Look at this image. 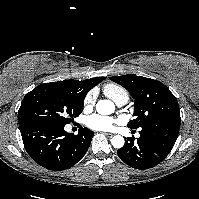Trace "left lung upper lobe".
<instances>
[{"label":"left lung upper lobe","mask_w":199,"mask_h":199,"mask_svg":"<svg viewBox=\"0 0 199 199\" xmlns=\"http://www.w3.org/2000/svg\"><path fill=\"white\" fill-rule=\"evenodd\" d=\"M109 79L127 89L135 100V118L127 124L129 128H142L160 119L180 117L176 97L160 81L136 75L114 76Z\"/></svg>","instance_id":"left-lung-upper-lobe-1"}]
</instances>
